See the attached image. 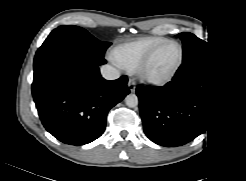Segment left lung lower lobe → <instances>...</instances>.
Segmentation results:
<instances>
[{
  "instance_id": "obj_1",
  "label": "left lung lower lobe",
  "mask_w": 246,
  "mask_h": 181,
  "mask_svg": "<svg viewBox=\"0 0 246 181\" xmlns=\"http://www.w3.org/2000/svg\"><path fill=\"white\" fill-rule=\"evenodd\" d=\"M147 137L162 146H181L205 132L222 95L220 62L213 49L183 58L173 80L162 87L137 86Z\"/></svg>"
}]
</instances>
